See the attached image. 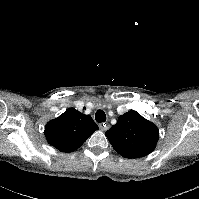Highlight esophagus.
Masks as SVG:
<instances>
[{
  "label": "esophagus",
  "mask_w": 199,
  "mask_h": 199,
  "mask_svg": "<svg viewBox=\"0 0 199 199\" xmlns=\"http://www.w3.org/2000/svg\"><path fill=\"white\" fill-rule=\"evenodd\" d=\"M99 127L102 131H106L110 128V125L107 123H101V124H99Z\"/></svg>",
  "instance_id": "34e87169"
}]
</instances>
